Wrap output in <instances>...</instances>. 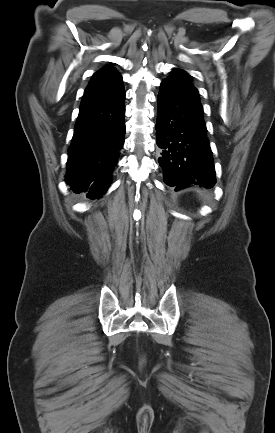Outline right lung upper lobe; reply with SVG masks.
<instances>
[{
    "mask_svg": "<svg viewBox=\"0 0 275 433\" xmlns=\"http://www.w3.org/2000/svg\"><path fill=\"white\" fill-rule=\"evenodd\" d=\"M121 82V75L114 68L105 66L94 73L85 91L106 86H113Z\"/></svg>",
    "mask_w": 275,
    "mask_h": 433,
    "instance_id": "cb5924a9",
    "label": "right lung upper lobe"
}]
</instances>
